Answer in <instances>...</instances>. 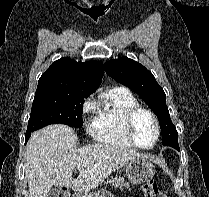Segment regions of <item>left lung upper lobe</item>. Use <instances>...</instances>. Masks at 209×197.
I'll return each mask as SVG.
<instances>
[{
    "instance_id": "obj_1",
    "label": "left lung upper lobe",
    "mask_w": 209,
    "mask_h": 197,
    "mask_svg": "<svg viewBox=\"0 0 209 197\" xmlns=\"http://www.w3.org/2000/svg\"><path fill=\"white\" fill-rule=\"evenodd\" d=\"M104 69L117 82L137 92L154 111L160 123L162 144L171 147L178 145V132L170 119L164 90L152 73L127 57L106 62Z\"/></svg>"
}]
</instances>
